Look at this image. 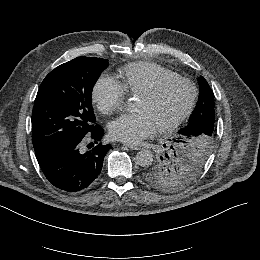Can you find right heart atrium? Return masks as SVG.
I'll return each mask as SVG.
<instances>
[{
	"mask_svg": "<svg viewBox=\"0 0 260 260\" xmlns=\"http://www.w3.org/2000/svg\"><path fill=\"white\" fill-rule=\"evenodd\" d=\"M127 91L115 77L103 73L96 80L92 89V99L99 111L112 113L121 108L125 102Z\"/></svg>",
	"mask_w": 260,
	"mask_h": 260,
	"instance_id": "obj_1",
	"label": "right heart atrium"
}]
</instances>
